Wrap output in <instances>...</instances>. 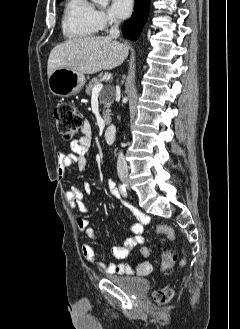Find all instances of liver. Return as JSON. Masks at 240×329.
I'll return each instance as SVG.
<instances>
[{
  "mask_svg": "<svg viewBox=\"0 0 240 329\" xmlns=\"http://www.w3.org/2000/svg\"><path fill=\"white\" fill-rule=\"evenodd\" d=\"M126 57V48L109 37L74 38L52 49L47 74L49 77L58 68L94 74L121 65Z\"/></svg>",
  "mask_w": 240,
  "mask_h": 329,
  "instance_id": "1",
  "label": "liver"
}]
</instances>
